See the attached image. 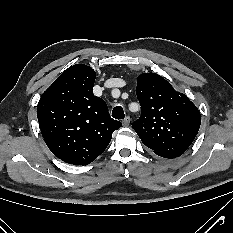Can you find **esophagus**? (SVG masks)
Masks as SVG:
<instances>
[{
  "label": "esophagus",
  "instance_id": "34e87169",
  "mask_svg": "<svg viewBox=\"0 0 233 233\" xmlns=\"http://www.w3.org/2000/svg\"><path fill=\"white\" fill-rule=\"evenodd\" d=\"M129 123H130V117L127 116L123 119L122 124L124 127H127V126H129Z\"/></svg>",
  "mask_w": 233,
  "mask_h": 233
}]
</instances>
